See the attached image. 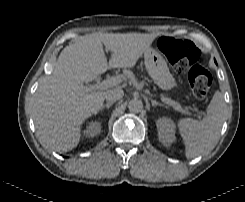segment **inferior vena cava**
Instances as JSON below:
<instances>
[{"label":"inferior vena cava","instance_id":"obj_1","mask_svg":"<svg viewBox=\"0 0 245 202\" xmlns=\"http://www.w3.org/2000/svg\"><path fill=\"white\" fill-rule=\"evenodd\" d=\"M124 95V92L120 88H115L112 90H108L105 96V99L107 102H115L119 99H121Z\"/></svg>","mask_w":245,"mask_h":202}]
</instances>
